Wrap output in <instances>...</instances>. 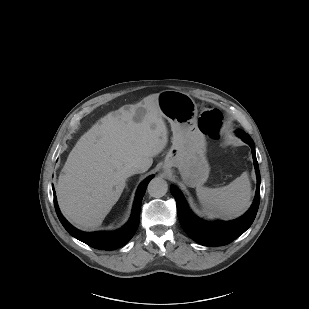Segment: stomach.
I'll list each match as a JSON object with an SVG mask.
<instances>
[{
  "label": "stomach",
  "mask_w": 309,
  "mask_h": 309,
  "mask_svg": "<svg viewBox=\"0 0 309 309\" xmlns=\"http://www.w3.org/2000/svg\"><path fill=\"white\" fill-rule=\"evenodd\" d=\"M162 116L171 124L172 146L163 168L177 167L185 184L190 187L202 185L209 176L206 159V142L198 128V109L187 93L165 90L158 94Z\"/></svg>",
  "instance_id": "obj_1"
}]
</instances>
